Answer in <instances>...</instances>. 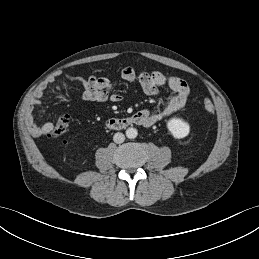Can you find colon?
Returning <instances> with one entry per match:
<instances>
[{
  "mask_svg": "<svg viewBox=\"0 0 259 259\" xmlns=\"http://www.w3.org/2000/svg\"><path fill=\"white\" fill-rule=\"evenodd\" d=\"M203 106H204V109L209 113H213L215 110L213 103L209 100H205L203 103ZM69 126H70V117L68 115H63L59 117V119L56 122V125L54 126L53 131L50 133V136L58 137L65 134L68 131Z\"/></svg>",
  "mask_w": 259,
  "mask_h": 259,
  "instance_id": "1",
  "label": "colon"
}]
</instances>
